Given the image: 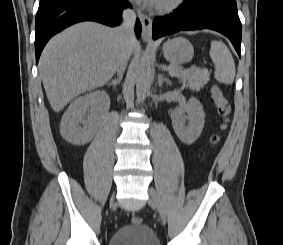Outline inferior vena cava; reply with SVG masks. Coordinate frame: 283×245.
<instances>
[{
	"instance_id": "inferior-vena-cava-1",
	"label": "inferior vena cava",
	"mask_w": 283,
	"mask_h": 245,
	"mask_svg": "<svg viewBox=\"0 0 283 245\" xmlns=\"http://www.w3.org/2000/svg\"><path fill=\"white\" fill-rule=\"evenodd\" d=\"M134 22H135L134 12L130 9H127L123 12L122 26L116 29L124 43V48L120 54L119 62L116 68L117 73L121 76L123 72L125 71V68L127 66V62L130 56L126 49V46L133 41L132 27L134 25Z\"/></svg>"
}]
</instances>
